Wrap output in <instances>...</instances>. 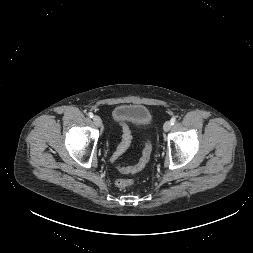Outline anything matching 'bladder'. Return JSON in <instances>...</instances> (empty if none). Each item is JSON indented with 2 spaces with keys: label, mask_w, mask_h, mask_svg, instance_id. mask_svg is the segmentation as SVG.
<instances>
[{
  "label": "bladder",
  "mask_w": 253,
  "mask_h": 253,
  "mask_svg": "<svg viewBox=\"0 0 253 253\" xmlns=\"http://www.w3.org/2000/svg\"><path fill=\"white\" fill-rule=\"evenodd\" d=\"M112 120L116 125H131L145 129L152 125V114L142 104H120L112 112Z\"/></svg>",
  "instance_id": "obj_1"
}]
</instances>
